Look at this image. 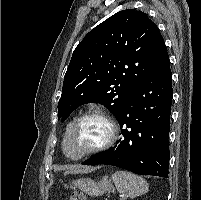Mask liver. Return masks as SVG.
Returning <instances> with one entry per match:
<instances>
[{"label":"liver","mask_w":201,"mask_h":200,"mask_svg":"<svg viewBox=\"0 0 201 200\" xmlns=\"http://www.w3.org/2000/svg\"><path fill=\"white\" fill-rule=\"evenodd\" d=\"M78 172H80V169L79 168H74V169H72L70 171H67L66 173H78Z\"/></svg>","instance_id":"obj_1"}]
</instances>
